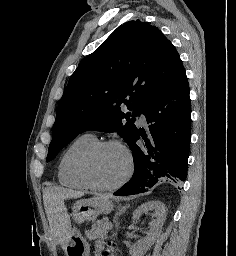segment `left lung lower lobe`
<instances>
[{"mask_svg": "<svg viewBox=\"0 0 236 256\" xmlns=\"http://www.w3.org/2000/svg\"><path fill=\"white\" fill-rule=\"evenodd\" d=\"M189 86L185 70L143 107L149 131L136 130L128 144L133 153L134 174L114 193L116 196L147 192L164 181H185L191 136ZM143 138V146L137 140Z\"/></svg>", "mask_w": 236, "mask_h": 256, "instance_id": "obj_1", "label": "left lung lower lobe"}]
</instances>
